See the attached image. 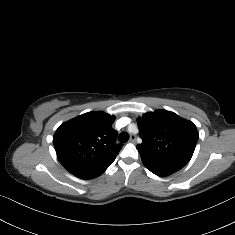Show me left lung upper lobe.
<instances>
[{
    "mask_svg": "<svg viewBox=\"0 0 235 235\" xmlns=\"http://www.w3.org/2000/svg\"><path fill=\"white\" fill-rule=\"evenodd\" d=\"M142 143L138 144L141 156L185 166L195 150L199 134L191 121L177 114L157 110L138 118Z\"/></svg>",
    "mask_w": 235,
    "mask_h": 235,
    "instance_id": "obj_1",
    "label": "left lung upper lobe"
}]
</instances>
